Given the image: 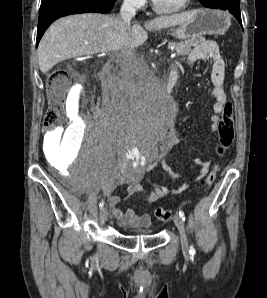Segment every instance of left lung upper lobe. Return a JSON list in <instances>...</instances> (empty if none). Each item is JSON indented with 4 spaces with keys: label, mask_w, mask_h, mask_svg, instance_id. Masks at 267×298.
<instances>
[{
    "label": "left lung upper lobe",
    "mask_w": 267,
    "mask_h": 298,
    "mask_svg": "<svg viewBox=\"0 0 267 298\" xmlns=\"http://www.w3.org/2000/svg\"><path fill=\"white\" fill-rule=\"evenodd\" d=\"M201 4H203L206 7L212 8L214 7V3L221 1V0H199ZM226 1H232L234 4H239V0H226Z\"/></svg>",
    "instance_id": "left-lung-upper-lobe-1"
}]
</instances>
